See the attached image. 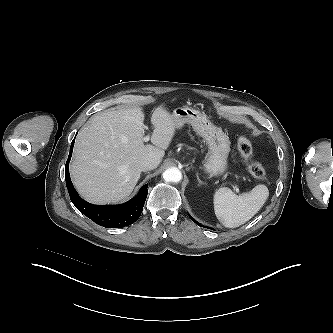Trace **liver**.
Wrapping results in <instances>:
<instances>
[{
    "mask_svg": "<svg viewBox=\"0 0 333 333\" xmlns=\"http://www.w3.org/2000/svg\"><path fill=\"white\" fill-rule=\"evenodd\" d=\"M145 113L137 107L94 115L77 135L70 174L79 194L95 204L126 199L137 184L146 158L161 160L175 134L176 120L160 105L151 117V142L145 145Z\"/></svg>",
    "mask_w": 333,
    "mask_h": 333,
    "instance_id": "liver-1",
    "label": "liver"
}]
</instances>
